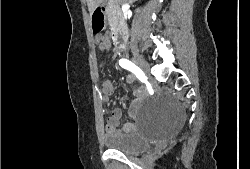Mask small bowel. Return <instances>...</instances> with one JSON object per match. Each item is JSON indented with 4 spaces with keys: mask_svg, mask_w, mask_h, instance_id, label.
<instances>
[{
    "mask_svg": "<svg viewBox=\"0 0 250 169\" xmlns=\"http://www.w3.org/2000/svg\"><path fill=\"white\" fill-rule=\"evenodd\" d=\"M95 42L97 43L98 47L102 51H107L110 49V39L107 35L100 34L95 37ZM125 81L128 84H134L136 81V77L133 74H128L125 77ZM103 94H104V101H110L111 97L115 92L114 83L110 79H105L103 81ZM146 95V90L142 86H136L133 89V96L134 100L130 107V115H132L141 105L142 100ZM122 118V111L119 108H114L111 112V116L109 120H107V131L111 134H114L118 131V123ZM135 129V125L133 123H126L122 128L121 131L123 133H131Z\"/></svg>",
    "mask_w": 250,
    "mask_h": 169,
    "instance_id": "small-bowel-1",
    "label": "small bowel"
}]
</instances>
